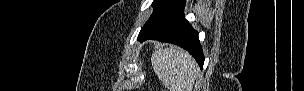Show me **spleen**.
<instances>
[{
  "mask_svg": "<svg viewBox=\"0 0 304 91\" xmlns=\"http://www.w3.org/2000/svg\"><path fill=\"white\" fill-rule=\"evenodd\" d=\"M151 63L169 91H192L198 66L186 51L177 47L158 48L151 56Z\"/></svg>",
  "mask_w": 304,
  "mask_h": 91,
  "instance_id": "3e777b00",
  "label": "spleen"
}]
</instances>
